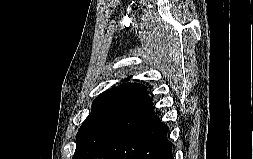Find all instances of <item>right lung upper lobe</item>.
Here are the masks:
<instances>
[{
  "instance_id": "obj_1",
  "label": "right lung upper lobe",
  "mask_w": 253,
  "mask_h": 159,
  "mask_svg": "<svg viewBox=\"0 0 253 159\" xmlns=\"http://www.w3.org/2000/svg\"><path fill=\"white\" fill-rule=\"evenodd\" d=\"M106 97H122L152 103V99L147 94V88L137 83H123L106 90L98 98Z\"/></svg>"
}]
</instances>
